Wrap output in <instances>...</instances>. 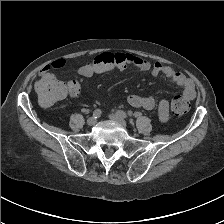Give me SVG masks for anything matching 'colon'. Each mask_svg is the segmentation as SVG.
I'll return each instance as SVG.
<instances>
[{"instance_id": "obj_1", "label": "colon", "mask_w": 224, "mask_h": 224, "mask_svg": "<svg viewBox=\"0 0 224 224\" xmlns=\"http://www.w3.org/2000/svg\"><path fill=\"white\" fill-rule=\"evenodd\" d=\"M94 67L101 73L116 69L113 59L106 57H96L92 62ZM75 86L63 84L53 77H47L38 82L36 86L37 94L45 105H52L67 95L75 94ZM190 109V100L185 96H176L171 102V110L176 115L186 114Z\"/></svg>"}]
</instances>
